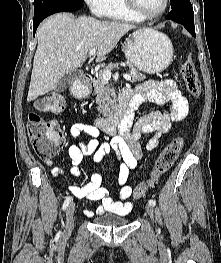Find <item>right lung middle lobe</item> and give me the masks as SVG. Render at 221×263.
<instances>
[{"instance_id":"dd1d6c3e","label":"right lung middle lobe","mask_w":221,"mask_h":263,"mask_svg":"<svg viewBox=\"0 0 221 263\" xmlns=\"http://www.w3.org/2000/svg\"><path fill=\"white\" fill-rule=\"evenodd\" d=\"M84 0H34V15L65 6L82 5Z\"/></svg>"}]
</instances>
